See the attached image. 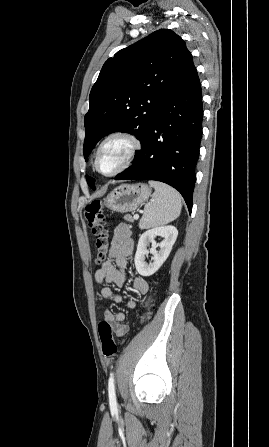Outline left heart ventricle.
Returning a JSON list of instances; mask_svg holds the SVG:
<instances>
[{
    "instance_id": "obj_1",
    "label": "left heart ventricle",
    "mask_w": 269,
    "mask_h": 447,
    "mask_svg": "<svg viewBox=\"0 0 269 447\" xmlns=\"http://www.w3.org/2000/svg\"><path fill=\"white\" fill-rule=\"evenodd\" d=\"M131 143L125 138H115L105 144L99 155L98 166L102 172L119 167L126 159Z\"/></svg>"
}]
</instances>
